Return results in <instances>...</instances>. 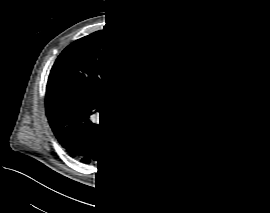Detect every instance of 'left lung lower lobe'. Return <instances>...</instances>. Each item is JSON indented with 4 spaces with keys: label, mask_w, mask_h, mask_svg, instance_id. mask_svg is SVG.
<instances>
[{
    "label": "left lung lower lobe",
    "mask_w": 270,
    "mask_h": 213,
    "mask_svg": "<svg viewBox=\"0 0 270 213\" xmlns=\"http://www.w3.org/2000/svg\"><path fill=\"white\" fill-rule=\"evenodd\" d=\"M224 124L223 108L177 101L160 112L151 131L157 150L183 163L211 151Z\"/></svg>",
    "instance_id": "obj_1"
}]
</instances>
